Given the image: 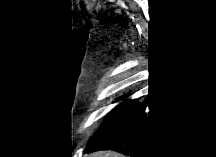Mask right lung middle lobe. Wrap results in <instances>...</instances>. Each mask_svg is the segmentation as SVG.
I'll return each mask as SVG.
<instances>
[{
    "instance_id": "obj_1",
    "label": "right lung middle lobe",
    "mask_w": 216,
    "mask_h": 157,
    "mask_svg": "<svg viewBox=\"0 0 216 157\" xmlns=\"http://www.w3.org/2000/svg\"><path fill=\"white\" fill-rule=\"evenodd\" d=\"M130 94L122 96L118 101H122L117 105L106 118L102 126L97 130L94 136L88 141L87 147L95 145L98 141L109 134L119 124L129 107L131 106L133 99L129 98Z\"/></svg>"
}]
</instances>
